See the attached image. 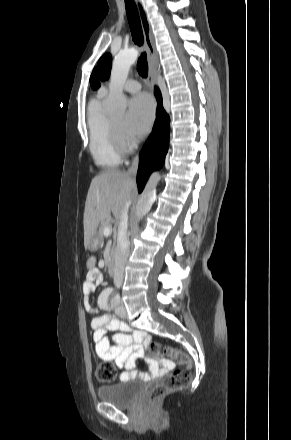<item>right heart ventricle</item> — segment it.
<instances>
[{
  "label": "right heart ventricle",
  "instance_id": "right-heart-ventricle-1",
  "mask_svg": "<svg viewBox=\"0 0 291 440\" xmlns=\"http://www.w3.org/2000/svg\"><path fill=\"white\" fill-rule=\"evenodd\" d=\"M104 97L100 92L88 108L89 148L91 155L98 166L103 168L117 167L121 163V154L115 148L109 127L108 117L102 112L101 100Z\"/></svg>",
  "mask_w": 291,
  "mask_h": 440
}]
</instances>
